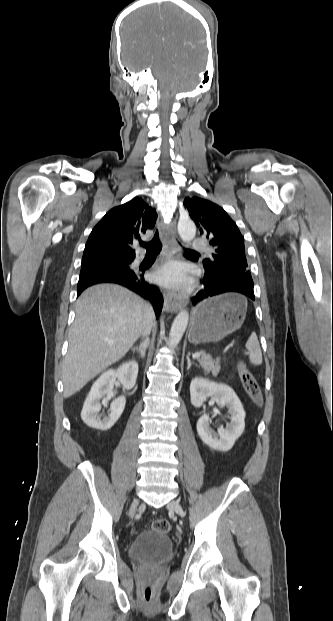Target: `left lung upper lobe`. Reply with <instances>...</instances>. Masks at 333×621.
I'll use <instances>...</instances> for the list:
<instances>
[{
	"label": "left lung upper lobe",
	"mask_w": 333,
	"mask_h": 621,
	"mask_svg": "<svg viewBox=\"0 0 333 621\" xmlns=\"http://www.w3.org/2000/svg\"><path fill=\"white\" fill-rule=\"evenodd\" d=\"M184 206L201 234L209 239L214 251L212 258L203 261L204 268L214 273L251 275L245 256L244 238L225 210L199 197L185 198Z\"/></svg>",
	"instance_id": "left-lung-upper-lobe-1"
}]
</instances>
